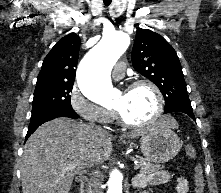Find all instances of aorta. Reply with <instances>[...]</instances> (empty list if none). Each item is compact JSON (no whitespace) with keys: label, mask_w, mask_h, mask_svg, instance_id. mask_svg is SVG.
Instances as JSON below:
<instances>
[{"label":"aorta","mask_w":221,"mask_h":193,"mask_svg":"<svg viewBox=\"0 0 221 193\" xmlns=\"http://www.w3.org/2000/svg\"><path fill=\"white\" fill-rule=\"evenodd\" d=\"M130 38L126 33L114 32L105 36L81 60L77 70V82L81 92L89 100L109 103L116 91L109 72L119 57L126 51ZM123 176L113 170L108 180L107 193H122Z\"/></svg>","instance_id":"1"}]
</instances>
